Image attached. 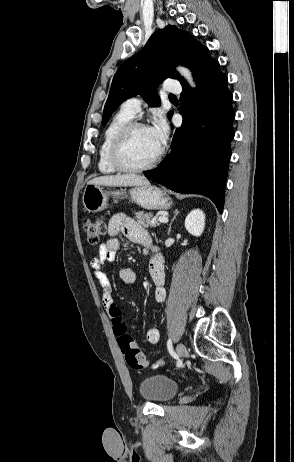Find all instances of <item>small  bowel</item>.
Wrapping results in <instances>:
<instances>
[{"label": "small bowel", "mask_w": 294, "mask_h": 462, "mask_svg": "<svg viewBox=\"0 0 294 462\" xmlns=\"http://www.w3.org/2000/svg\"><path fill=\"white\" fill-rule=\"evenodd\" d=\"M123 234L130 241L140 244L144 247L151 248L155 255L149 264V273L154 284V300L157 304H162L166 298L165 291V270L164 261L159 254L158 249L153 245L152 240L147 231L139 225L134 219L124 215L115 214L108 224V235L110 239L101 244L98 254L91 261V267L101 286L102 304L109 313V309L114 305L112 297V286L109 277L104 273L103 267L105 263L115 259L116 254L120 249V242L116 236ZM119 277L124 284L131 285L136 280V274L132 268L124 267L119 271ZM110 315V314H109ZM111 318V315H110ZM112 319V318H111ZM159 330L156 326L150 324L145 330V342L148 344H156L159 341ZM161 364L160 362L155 366Z\"/></svg>", "instance_id": "small-bowel-1"}]
</instances>
